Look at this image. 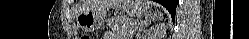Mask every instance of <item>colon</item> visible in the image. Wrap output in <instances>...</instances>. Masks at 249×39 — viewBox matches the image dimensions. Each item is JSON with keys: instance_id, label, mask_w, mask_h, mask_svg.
Masks as SVG:
<instances>
[{"instance_id": "5ec220e1", "label": "colon", "mask_w": 249, "mask_h": 39, "mask_svg": "<svg viewBox=\"0 0 249 39\" xmlns=\"http://www.w3.org/2000/svg\"><path fill=\"white\" fill-rule=\"evenodd\" d=\"M91 37H89L88 35H83L82 37H81V39H90Z\"/></svg>"}]
</instances>
